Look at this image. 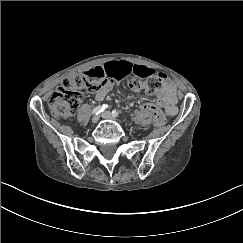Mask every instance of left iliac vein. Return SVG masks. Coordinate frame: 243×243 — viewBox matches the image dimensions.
<instances>
[{
  "mask_svg": "<svg viewBox=\"0 0 243 243\" xmlns=\"http://www.w3.org/2000/svg\"><path fill=\"white\" fill-rule=\"evenodd\" d=\"M101 117L104 118V119H110V120H114L115 119V117L108 111L102 113Z\"/></svg>",
  "mask_w": 243,
  "mask_h": 243,
  "instance_id": "obj_1",
  "label": "left iliac vein"
}]
</instances>
